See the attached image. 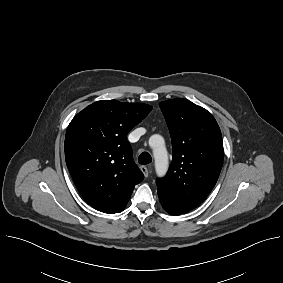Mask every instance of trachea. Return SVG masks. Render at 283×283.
Wrapping results in <instances>:
<instances>
[{"mask_svg":"<svg viewBox=\"0 0 283 283\" xmlns=\"http://www.w3.org/2000/svg\"><path fill=\"white\" fill-rule=\"evenodd\" d=\"M151 161H152V158H151L150 154L147 153V152L141 153V154L139 155V157H138V162H139L140 164H143V165L148 164V163H150Z\"/></svg>","mask_w":283,"mask_h":283,"instance_id":"trachea-1","label":"trachea"}]
</instances>
